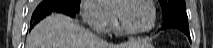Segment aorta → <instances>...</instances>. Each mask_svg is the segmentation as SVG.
<instances>
[{
	"label": "aorta",
	"instance_id": "1",
	"mask_svg": "<svg viewBox=\"0 0 213 48\" xmlns=\"http://www.w3.org/2000/svg\"><path fill=\"white\" fill-rule=\"evenodd\" d=\"M102 5H108L114 2V0H99Z\"/></svg>",
	"mask_w": 213,
	"mask_h": 48
}]
</instances>
